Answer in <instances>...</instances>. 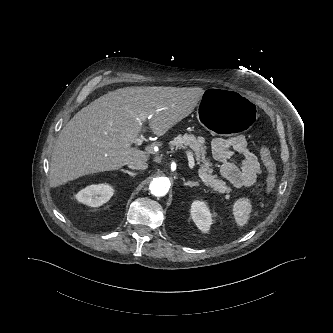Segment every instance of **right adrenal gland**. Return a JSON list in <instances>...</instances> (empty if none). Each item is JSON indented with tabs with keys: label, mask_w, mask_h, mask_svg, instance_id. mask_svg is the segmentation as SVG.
I'll list each match as a JSON object with an SVG mask.
<instances>
[{
	"label": "right adrenal gland",
	"mask_w": 333,
	"mask_h": 333,
	"mask_svg": "<svg viewBox=\"0 0 333 333\" xmlns=\"http://www.w3.org/2000/svg\"><path fill=\"white\" fill-rule=\"evenodd\" d=\"M120 171L127 173L128 175H130L131 177H135L137 175V173L125 170V169H121Z\"/></svg>",
	"instance_id": "obj_1"
}]
</instances>
